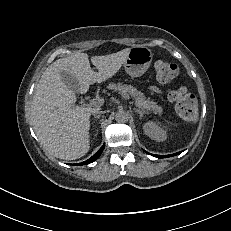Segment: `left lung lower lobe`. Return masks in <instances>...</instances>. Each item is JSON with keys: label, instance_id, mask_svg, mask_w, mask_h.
<instances>
[{"label": "left lung lower lobe", "instance_id": "left-lung-lower-lobe-1", "mask_svg": "<svg viewBox=\"0 0 231 231\" xmlns=\"http://www.w3.org/2000/svg\"><path fill=\"white\" fill-rule=\"evenodd\" d=\"M179 153H181V152H178V153H175V154H171V155H153V156L158 157V158H166V157L175 156V155H177Z\"/></svg>", "mask_w": 231, "mask_h": 231}]
</instances>
